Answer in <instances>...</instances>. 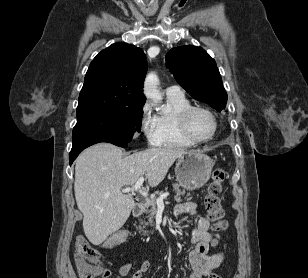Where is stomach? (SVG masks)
Listing matches in <instances>:
<instances>
[{"label": "stomach", "mask_w": 308, "mask_h": 278, "mask_svg": "<svg viewBox=\"0 0 308 278\" xmlns=\"http://www.w3.org/2000/svg\"><path fill=\"white\" fill-rule=\"evenodd\" d=\"M213 162L201 152H188L179 157L175 175L179 184L187 190L203 187L211 176Z\"/></svg>", "instance_id": "stomach-1"}]
</instances>
